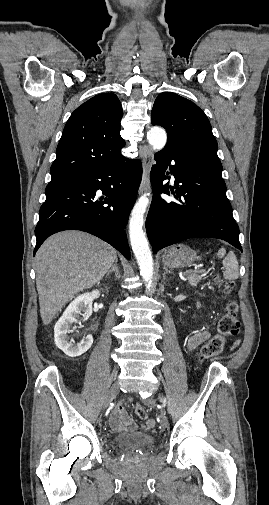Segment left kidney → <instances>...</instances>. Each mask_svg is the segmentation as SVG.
I'll use <instances>...</instances> for the list:
<instances>
[{
    "label": "left kidney",
    "instance_id": "left-kidney-1",
    "mask_svg": "<svg viewBox=\"0 0 269 505\" xmlns=\"http://www.w3.org/2000/svg\"><path fill=\"white\" fill-rule=\"evenodd\" d=\"M196 306H197V308H200L201 304L199 302H197Z\"/></svg>",
    "mask_w": 269,
    "mask_h": 505
}]
</instances>
